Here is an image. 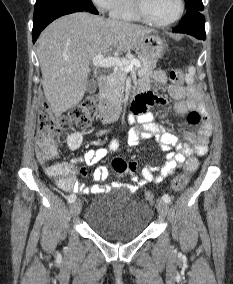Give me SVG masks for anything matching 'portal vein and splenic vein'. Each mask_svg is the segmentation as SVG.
Returning <instances> with one entry per match:
<instances>
[{
    "mask_svg": "<svg viewBox=\"0 0 233 284\" xmlns=\"http://www.w3.org/2000/svg\"><path fill=\"white\" fill-rule=\"evenodd\" d=\"M92 63L95 67H101V68H110V67H116L120 68L121 70L125 72H129L133 69V67H140L141 63L137 59H131V60H125L120 59L117 57H105L104 55H97L93 58Z\"/></svg>",
    "mask_w": 233,
    "mask_h": 284,
    "instance_id": "obj_1",
    "label": "portal vein and splenic vein"
}]
</instances>
